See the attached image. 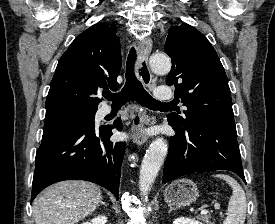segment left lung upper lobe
<instances>
[{
  "label": "left lung upper lobe",
  "mask_w": 275,
  "mask_h": 224,
  "mask_svg": "<svg viewBox=\"0 0 275 224\" xmlns=\"http://www.w3.org/2000/svg\"><path fill=\"white\" fill-rule=\"evenodd\" d=\"M164 50L172 60L166 84L175 85L187 107L183 116L169 114L168 121L182 128L201 121L235 128L227 76L207 38L184 23L169 28Z\"/></svg>",
  "instance_id": "5c2ea615"
}]
</instances>
